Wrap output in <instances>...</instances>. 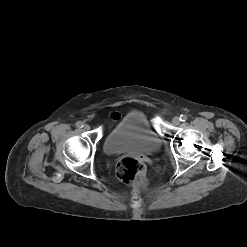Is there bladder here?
I'll use <instances>...</instances> for the list:
<instances>
[{"label": "bladder", "mask_w": 247, "mask_h": 247, "mask_svg": "<svg viewBox=\"0 0 247 247\" xmlns=\"http://www.w3.org/2000/svg\"><path fill=\"white\" fill-rule=\"evenodd\" d=\"M104 151L109 155L124 152L150 154L160 147V139L141 111L126 114L108 133Z\"/></svg>", "instance_id": "bladder-1"}]
</instances>
